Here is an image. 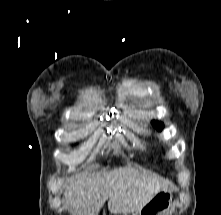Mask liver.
I'll return each instance as SVG.
<instances>
[{"instance_id":"6515ba94","label":"liver","mask_w":221,"mask_h":215,"mask_svg":"<svg viewBox=\"0 0 221 215\" xmlns=\"http://www.w3.org/2000/svg\"><path fill=\"white\" fill-rule=\"evenodd\" d=\"M171 184L161 178L141 174L132 168L79 177L66 186L64 198L72 215H98L108 200L113 214H128L141 208Z\"/></svg>"}]
</instances>
